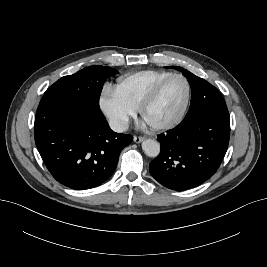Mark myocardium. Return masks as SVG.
Listing matches in <instances>:
<instances>
[{"label":"myocardium","mask_w":267,"mask_h":267,"mask_svg":"<svg viewBox=\"0 0 267 267\" xmlns=\"http://www.w3.org/2000/svg\"><path fill=\"white\" fill-rule=\"evenodd\" d=\"M173 78H180L184 81L185 86H186V95H185V100L183 103L182 108L180 109L179 113L170 121L161 123V124H149L147 123L153 130L155 131H166L170 130L177 125L181 123L183 120L189 103H190V98H191V85L189 80L182 74L180 73H171L170 75L164 77L161 79L158 83L154 85V87L151 89V91L148 93V95L144 98V100L141 102L138 111L143 120H145V112L146 110L155 102L157 97L159 96L162 88L164 85L171 79Z\"/></svg>","instance_id":"1"}]
</instances>
